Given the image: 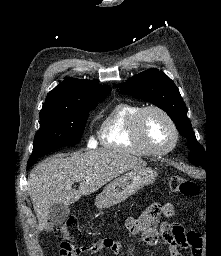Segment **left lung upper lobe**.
Segmentation results:
<instances>
[{
	"label": "left lung upper lobe",
	"mask_w": 221,
	"mask_h": 256,
	"mask_svg": "<svg viewBox=\"0 0 221 256\" xmlns=\"http://www.w3.org/2000/svg\"><path fill=\"white\" fill-rule=\"evenodd\" d=\"M120 90L135 98L152 102L175 122L180 134L187 139V147L191 150L188 160L192 164L204 167L206 152L197 142L187 108L174 82L156 68L148 69L120 85Z\"/></svg>",
	"instance_id": "5c2ea615"
}]
</instances>
